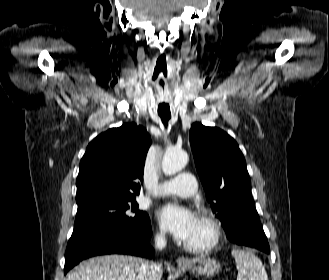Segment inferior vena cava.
<instances>
[{
	"label": "inferior vena cava",
	"instance_id": "obj_1",
	"mask_svg": "<svg viewBox=\"0 0 329 280\" xmlns=\"http://www.w3.org/2000/svg\"><path fill=\"white\" fill-rule=\"evenodd\" d=\"M155 245L158 249H163L166 246V239L163 233L159 234L155 238ZM160 264H156L153 262L145 261L141 268L139 279L140 280H155L156 274L160 270Z\"/></svg>",
	"mask_w": 329,
	"mask_h": 280
}]
</instances>
